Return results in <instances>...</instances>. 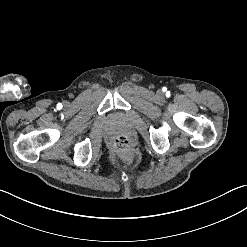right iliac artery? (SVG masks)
<instances>
[{
	"label": "right iliac artery",
	"mask_w": 247,
	"mask_h": 247,
	"mask_svg": "<svg viewBox=\"0 0 247 247\" xmlns=\"http://www.w3.org/2000/svg\"><path fill=\"white\" fill-rule=\"evenodd\" d=\"M57 108H58V109H61V108H62V104H61V103H58V104H57Z\"/></svg>",
	"instance_id": "1"
}]
</instances>
